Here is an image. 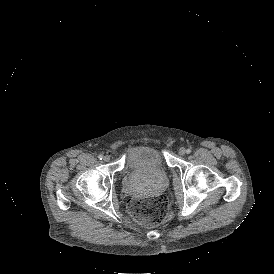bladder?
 Listing matches in <instances>:
<instances>
[{
  "label": "bladder",
  "instance_id": "bladder-1",
  "mask_svg": "<svg viewBox=\"0 0 274 274\" xmlns=\"http://www.w3.org/2000/svg\"><path fill=\"white\" fill-rule=\"evenodd\" d=\"M164 161L165 157L159 149L148 145H136L127 152L125 170L145 171L149 166H161Z\"/></svg>",
  "mask_w": 274,
  "mask_h": 274
}]
</instances>
